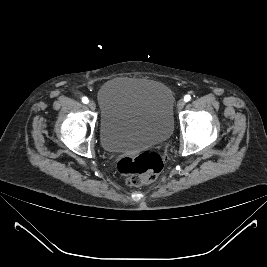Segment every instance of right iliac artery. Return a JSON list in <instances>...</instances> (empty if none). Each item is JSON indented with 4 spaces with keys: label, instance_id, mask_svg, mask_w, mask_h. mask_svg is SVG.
I'll list each match as a JSON object with an SVG mask.
<instances>
[{
    "label": "right iliac artery",
    "instance_id": "obj_1",
    "mask_svg": "<svg viewBox=\"0 0 267 267\" xmlns=\"http://www.w3.org/2000/svg\"><path fill=\"white\" fill-rule=\"evenodd\" d=\"M82 101H83V103L87 104L88 103V98L84 97V98H82Z\"/></svg>",
    "mask_w": 267,
    "mask_h": 267
}]
</instances>
